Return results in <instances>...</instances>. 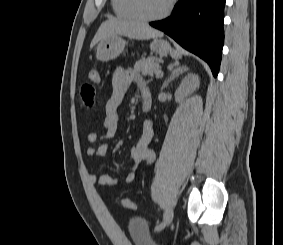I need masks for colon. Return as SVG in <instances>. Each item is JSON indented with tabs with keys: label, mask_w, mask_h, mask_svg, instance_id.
<instances>
[{
	"label": "colon",
	"mask_w": 283,
	"mask_h": 245,
	"mask_svg": "<svg viewBox=\"0 0 283 245\" xmlns=\"http://www.w3.org/2000/svg\"><path fill=\"white\" fill-rule=\"evenodd\" d=\"M88 82L90 84H97L100 80V74H99V71L96 69V68H91L89 70V73H88ZM119 202L121 204L122 207L126 208V209H129V210H135L136 209V203L127 198V197H121L119 198Z\"/></svg>",
	"instance_id": "5ec220e1"
}]
</instances>
